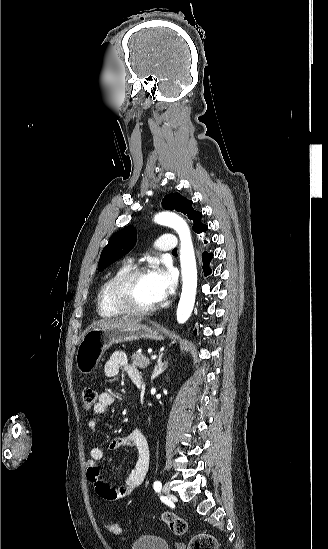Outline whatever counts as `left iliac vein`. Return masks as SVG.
<instances>
[{
	"label": "left iliac vein",
	"mask_w": 328,
	"mask_h": 549,
	"mask_svg": "<svg viewBox=\"0 0 328 549\" xmlns=\"http://www.w3.org/2000/svg\"><path fill=\"white\" fill-rule=\"evenodd\" d=\"M162 491H163L166 495H170V494H171L170 487H169V485H168L167 483H165V485L163 486Z\"/></svg>",
	"instance_id": "4c4485c4"
}]
</instances>
